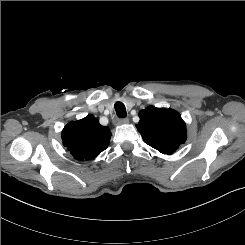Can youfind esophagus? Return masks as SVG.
<instances>
[{"label":"esophagus","instance_id":"esophagus-1","mask_svg":"<svg viewBox=\"0 0 245 245\" xmlns=\"http://www.w3.org/2000/svg\"><path fill=\"white\" fill-rule=\"evenodd\" d=\"M128 122H129V119H128V118H119V119H117V120L115 121V123H116L117 125L126 124V123H128Z\"/></svg>","mask_w":245,"mask_h":245}]
</instances>
